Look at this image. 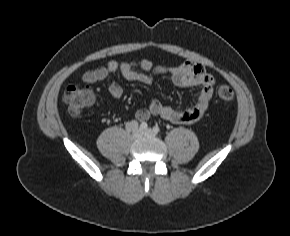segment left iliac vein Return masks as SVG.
Instances as JSON below:
<instances>
[{
  "label": "left iliac vein",
  "instance_id": "obj_1",
  "mask_svg": "<svg viewBox=\"0 0 290 236\" xmlns=\"http://www.w3.org/2000/svg\"><path fill=\"white\" fill-rule=\"evenodd\" d=\"M143 133H144V135L150 136V137L156 136V133L152 129H146Z\"/></svg>",
  "mask_w": 290,
  "mask_h": 236
}]
</instances>
